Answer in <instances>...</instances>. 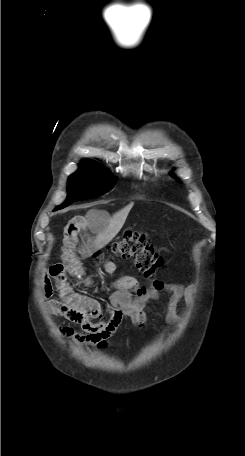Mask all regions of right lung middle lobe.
Returning a JSON list of instances; mask_svg holds the SVG:
<instances>
[{
  "label": "right lung middle lobe",
  "instance_id": "dd1d6c3e",
  "mask_svg": "<svg viewBox=\"0 0 245 456\" xmlns=\"http://www.w3.org/2000/svg\"><path fill=\"white\" fill-rule=\"evenodd\" d=\"M116 179L102 166H80L68 178V194L65 202L57 209L87 198L98 197L111 190Z\"/></svg>",
  "mask_w": 245,
  "mask_h": 456
}]
</instances>
